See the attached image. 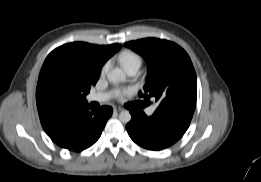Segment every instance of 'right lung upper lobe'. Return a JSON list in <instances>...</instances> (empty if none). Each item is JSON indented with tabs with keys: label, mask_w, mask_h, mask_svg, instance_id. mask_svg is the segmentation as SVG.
<instances>
[{
	"label": "right lung upper lobe",
	"mask_w": 261,
	"mask_h": 182,
	"mask_svg": "<svg viewBox=\"0 0 261 182\" xmlns=\"http://www.w3.org/2000/svg\"><path fill=\"white\" fill-rule=\"evenodd\" d=\"M119 44L68 43L54 49L39 74L36 103L43 129L55 130L74 109L88 106L85 95L95 85L103 64Z\"/></svg>",
	"instance_id": "cb5924a9"
}]
</instances>
